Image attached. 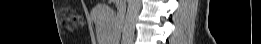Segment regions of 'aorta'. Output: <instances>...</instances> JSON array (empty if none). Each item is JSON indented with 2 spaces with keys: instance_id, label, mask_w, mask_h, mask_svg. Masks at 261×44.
Wrapping results in <instances>:
<instances>
[{
  "instance_id": "aorta-1",
  "label": "aorta",
  "mask_w": 261,
  "mask_h": 44,
  "mask_svg": "<svg viewBox=\"0 0 261 44\" xmlns=\"http://www.w3.org/2000/svg\"><path fill=\"white\" fill-rule=\"evenodd\" d=\"M140 10V0H128L127 14L122 34V42L131 44L134 38V31L137 16Z\"/></svg>"
}]
</instances>
